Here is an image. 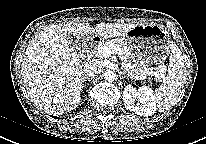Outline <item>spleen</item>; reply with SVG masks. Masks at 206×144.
Returning <instances> with one entry per match:
<instances>
[{
	"label": "spleen",
	"mask_w": 206,
	"mask_h": 144,
	"mask_svg": "<svg viewBox=\"0 0 206 144\" xmlns=\"http://www.w3.org/2000/svg\"><path fill=\"white\" fill-rule=\"evenodd\" d=\"M183 57L181 51L175 45H171L169 58L168 75L163 80L161 86L155 90V101L160 111L168 110L177 100L179 92L183 86Z\"/></svg>",
	"instance_id": "3e777b00"
}]
</instances>
